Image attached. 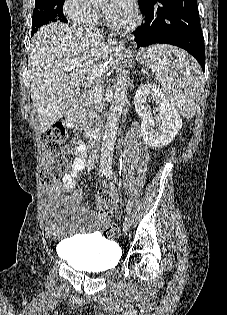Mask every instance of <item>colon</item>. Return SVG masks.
Returning <instances> with one entry per match:
<instances>
[{
  "mask_svg": "<svg viewBox=\"0 0 227 315\" xmlns=\"http://www.w3.org/2000/svg\"><path fill=\"white\" fill-rule=\"evenodd\" d=\"M66 130L63 125L52 126L44 135L42 140L43 160L40 170V180L44 184L56 181L61 172L67 169L69 158L63 156ZM97 215L98 222L105 226L104 235L108 238L118 237L121 234L120 228L111 223V197L108 191L100 190L97 193Z\"/></svg>",
  "mask_w": 227,
  "mask_h": 315,
  "instance_id": "5ec220e1",
  "label": "colon"
}]
</instances>
